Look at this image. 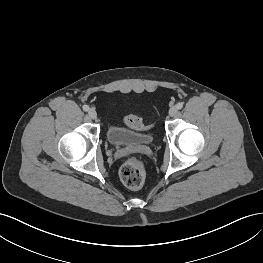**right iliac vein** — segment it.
I'll use <instances>...</instances> for the list:
<instances>
[{
	"label": "right iliac vein",
	"instance_id": "1",
	"mask_svg": "<svg viewBox=\"0 0 263 263\" xmlns=\"http://www.w3.org/2000/svg\"><path fill=\"white\" fill-rule=\"evenodd\" d=\"M88 116L91 119H96L97 118V112L94 109H89L88 110Z\"/></svg>",
	"mask_w": 263,
	"mask_h": 263
}]
</instances>
